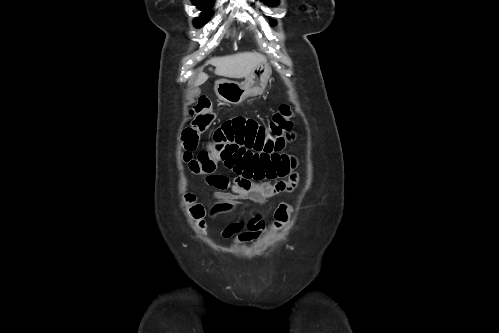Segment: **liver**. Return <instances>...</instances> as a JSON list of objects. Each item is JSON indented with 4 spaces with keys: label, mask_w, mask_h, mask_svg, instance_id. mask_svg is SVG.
I'll return each instance as SVG.
<instances>
[{
    "label": "liver",
    "mask_w": 499,
    "mask_h": 333,
    "mask_svg": "<svg viewBox=\"0 0 499 333\" xmlns=\"http://www.w3.org/2000/svg\"><path fill=\"white\" fill-rule=\"evenodd\" d=\"M208 63L215 66L216 75L241 79L246 78L258 65L266 63V58L260 53L244 52L225 57H216ZM207 79L208 75L201 72L197 77L195 85H202Z\"/></svg>",
    "instance_id": "liver-1"
}]
</instances>
